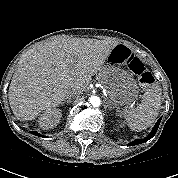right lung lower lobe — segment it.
Returning <instances> with one entry per match:
<instances>
[{
    "label": "right lung lower lobe",
    "instance_id": "98d812e1",
    "mask_svg": "<svg viewBox=\"0 0 178 178\" xmlns=\"http://www.w3.org/2000/svg\"><path fill=\"white\" fill-rule=\"evenodd\" d=\"M31 133L33 134V135H36V136H42V135H40L39 133H37L36 131H31ZM42 137H44V136H42Z\"/></svg>",
    "mask_w": 178,
    "mask_h": 178
}]
</instances>
